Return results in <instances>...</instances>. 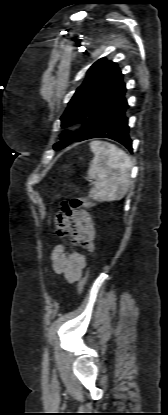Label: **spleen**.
Returning <instances> with one entry per match:
<instances>
[{
  "instance_id": "spleen-1",
  "label": "spleen",
  "mask_w": 168,
  "mask_h": 415,
  "mask_svg": "<svg viewBox=\"0 0 168 415\" xmlns=\"http://www.w3.org/2000/svg\"><path fill=\"white\" fill-rule=\"evenodd\" d=\"M90 149L94 153L88 170V179L95 180L91 197L100 201L121 200L130 183L131 159L117 146L92 141Z\"/></svg>"
}]
</instances>
